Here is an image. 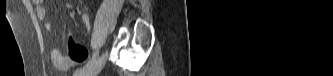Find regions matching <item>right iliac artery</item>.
<instances>
[{
    "instance_id": "1",
    "label": "right iliac artery",
    "mask_w": 333,
    "mask_h": 76,
    "mask_svg": "<svg viewBox=\"0 0 333 76\" xmlns=\"http://www.w3.org/2000/svg\"><path fill=\"white\" fill-rule=\"evenodd\" d=\"M98 56V53H94L92 58L80 69L76 70L74 72L75 76H81L86 70L90 69L92 67V65L95 63L96 58Z\"/></svg>"
}]
</instances>
